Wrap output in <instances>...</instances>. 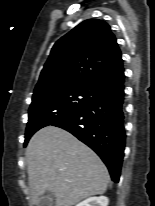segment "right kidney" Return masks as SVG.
I'll use <instances>...</instances> for the list:
<instances>
[{
	"mask_svg": "<svg viewBox=\"0 0 155 206\" xmlns=\"http://www.w3.org/2000/svg\"><path fill=\"white\" fill-rule=\"evenodd\" d=\"M109 199L105 196L90 197L76 206H108Z\"/></svg>",
	"mask_w": 155,
	"mask_h": 206,
	"instance_id": "ca27d5eb",
	"label": "right kidney"
}]
</instances>
